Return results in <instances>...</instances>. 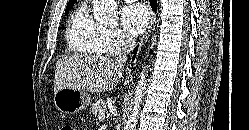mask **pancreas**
<instances>
[{
    "label": "pancreas",
    "instance_id": "pancreas-1",
    "mask_svg": "<svg viewBox=\"0 0 249 130\" xmlns=\"http://www.w3.org/2000/svg\"><path fill=\"white\" fill-rule=\"evenodd\" d=\"M107 110V104L104 100H98L92 105V113L95 116H98L101 112H104Z\"/></svg>",
    "mask_w": 249,
    "mask_h": 130
}]
</instances>
